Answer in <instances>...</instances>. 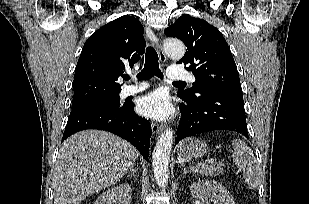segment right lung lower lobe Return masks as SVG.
<instances>
[{"label": "right lung lower lobe", "instance_id": "98d812e1", "mask_svg": "<svg viewBox=\"0 0 309 204\" xmlns=\"http://www.w3.org/2000/svg\"><path fill=\"white\" fill-rule=\"evenodd\" d=\"M97 129L114 133L133 144L142 156L148 158L151 124L134 112V104L114 106H89L72 109L62 141L70 135L86 130Z\"/></svg>", "mask_w": 309, "mask_h": 204}]
</instances>
